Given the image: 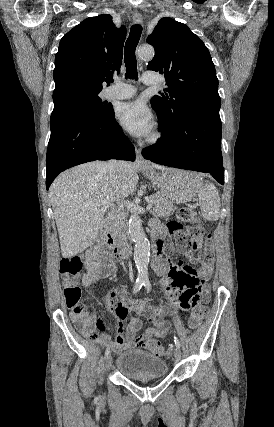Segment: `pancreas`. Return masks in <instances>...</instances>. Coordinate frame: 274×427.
I'll list each match as a JSON object with an SVG mask.
<instances>
[{"mask_svg":"<svg viewBox=\"0 0 274 427\" xmlns=\"http://www.w3.org/2000/svg\"><path fill=\"white\" fill-rule=\"evenodd\" d=\"M149 204L153 206L151 214L154 217H167V215H171L176 210V206H173L174 202L161 198V196H152V202H149ZM127 215L128 212H116V214L112 215L111 219H113L114 223H111L110 231L114 239H122L124 237V221Z\"/></svg>","mask_w":274,"mask_h":427,"instance_id":"1","label":"pancreas"}]
</instances>
